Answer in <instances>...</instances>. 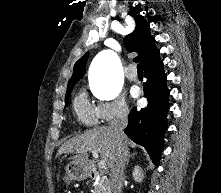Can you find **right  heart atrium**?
I'll use <instances>...</instances> for the list:
<instances>
[{"label": "right heart atrium", "mask_w": 221, "mask_h": 193, "mask_svg": "<svg viewBox=\"0 0 221 193\" xmlns=\"http://www.w3.org/2000/svg\"><path fill=\"white\" fill-rule=\"evenodd\" d=\"M98 119L109 123L116 119L125 118L129 109L125 99L117 96L109 101H101L96 105Z\"/></svg>", "instance_id": "obj_1"}]
</instances>
